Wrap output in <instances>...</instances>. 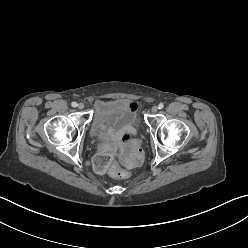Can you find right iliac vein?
<instances>
[{"label": "right iliac vein", "instance_id": "right-iliac-vein-1", "mask_svg": "<svg viewBox=\"0 0 248 248\" xmlns=\"http://www.w3.org/2000/svg\"><path fill=\"white\" fill-rule=\"evenodd\" d=\"M84 107H85V106H84L83 103H79V104H78V109L82 110V109H84Z\"/></svg>", "mask_w": 248, "mask_h": 248}]
</instances>
